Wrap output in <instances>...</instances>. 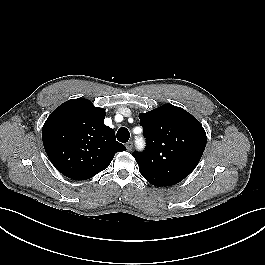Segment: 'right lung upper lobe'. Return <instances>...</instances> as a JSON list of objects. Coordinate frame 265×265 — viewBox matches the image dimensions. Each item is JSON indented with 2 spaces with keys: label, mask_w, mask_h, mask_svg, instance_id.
<instances>
[{
  "label": "right lung upper lobe",
  "mask_w": 265,
  "mask_h": 265,
  "mask_svg": "<svg viewBox=\"0 0 265 265\" xmlns=\"http://www.w3.org/2000/svg\"><path fill=\"white\" fill-rule=\"evenodd\" d=\"M106 112L87 99L61 104L44 123L42 139L55 168L73 180L92 178L106 169L116 152L126 150L104 124Z\"/></svg>",
  "instance_id": "obj_1"
}]
</instances>
